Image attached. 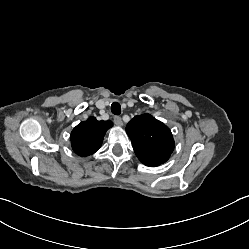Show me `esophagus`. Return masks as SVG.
Here are the masks:
<instances>
[{"instance_id":"esophagus-1","label":"esophagus","mask_w":249,"mask_h":249,"mask_svg":"<svg viewBox=\"0 0 249 249\" xmlns=\"http://www.w3.org/2000/svg\"><path fill=\"white\" fill-rule=\"evenodd\" d=\"M114 123H115L116 125H118V126H122V125H123L122 119H121V117H119V116H115V117H114Z\"/></svg>"}]
</instances>
